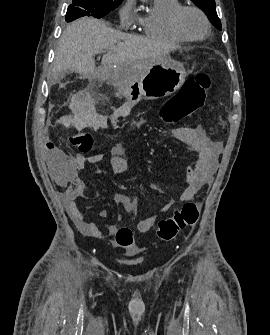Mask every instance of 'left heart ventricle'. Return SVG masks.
I'll list each match as a JSON object with an SVG mask.
<instances>
[{"instance_id":"obj_1","label":"left heart ventricle","mask_w":270,"mask_h":335,"mask_svg":"<svg viewBox=\"0 0 270 335\" xmlns=\"http://www.w3.org/2000/svg\"><path fill=\"white\" fill-rule=\"evenodd\" d=\"M183 29L191 37L198 38L205 34V24L201 16L191 10L186 11L181 18Z\"/></svg>"}]
</instances>
